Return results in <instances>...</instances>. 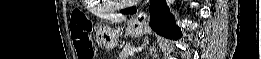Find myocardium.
<instances>
[{
	"instance_id": "myocardium-1",
	"label": "myocardium",
	"mask_w": 261,
	"mask_h": 59,
	"mask_svg": "<svg viewBox=\"0 0 261 59\" xmlns=\"http://www.w3.org/2000/svg\"><path fill=\"white\" fill-rule=\"evenodd\" d=\"M112 4H113V6L115 8H123V7H127L128 6L127 2H116V1H113Z\"/></svg>"
}]
</instances>
